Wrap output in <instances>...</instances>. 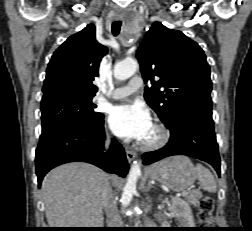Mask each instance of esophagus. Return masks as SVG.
<instances>
[{
	"label": "esophagus",
	"instance_id": "esophagus-1",
	"mask_svg": "<svg viewBox=\"0 0 252 231\" xmlns=\"http://www.w3.org/2000/svg\"><path fill=\"white\" fill-rule=\"evenodd\" d=\"M122 17H123V14H122V13H117V14L115 15V19H116V20H120V19H122ZM125 152H126L127 160H128L129 162L133 161V160L136 158V155H137V154H136L135 151L126 149Z\"/></svg>",
	"mask_w": 252,
	"mask_h": 231
}]
</instances>
